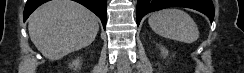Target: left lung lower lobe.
<instances>
[{"mask_svg":"<svg viewBox=\"0 0 244 73\" xmlns=\"http://www.w3.org/2000/svg\"><path fill=\"white\" fill-rule=\"evenodd\" d=\"M167 7H186L195 9L209 17L214 18V6L212 0H137V25L147 13Z\"/></svg>","mask_w":244,"mask_h":73,"instance_id":"obj_1","label":"left lung lower lobe"}]
</instances>
